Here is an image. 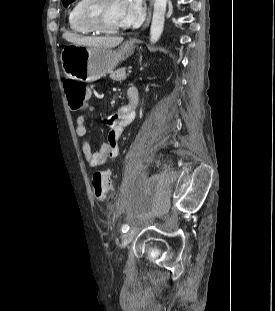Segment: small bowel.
<instances>
[{
    "mask_svg": "<svg viewBox=\"0 0 275 311\" xmlns=\"http://www.w3.org/2000/svg\"><path fill=\"white\" fill-rule=\"evenodd\" d=\"M130 97L138 100V90L130 88L128 90L129 103L115 110L114 114L107 120L108 133L107 139L103 142L97 151H93L89 141H82V152L84 159L89 167L97 168L102 166L109 158H114L118 154V141L124 128L134 119V110L136 105H132ZM138 103V102H137ZM85 116L79 115L76 118L75 134L78 137H84L87 133L85 125Z\"/></svg>",
    "mask_w": 275,
    "mask_h": 311,
    "instance_id": "obj_1",
    "label": "small bowel"
}]
</instances>
